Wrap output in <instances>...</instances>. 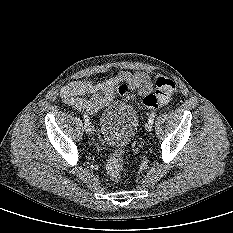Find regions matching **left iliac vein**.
Returning <instances> with one entry per match:
<instances>
[{
    "label": "left iliac vein",
    "instance_id": "left-iliac-vein-1",
    "mask_svg": "<svg viewBox=\"0 0 233 233\" xmlns=\"http://www.w3.org/2000/svg\"><path fill=\"white\" fill-rule=\"evenodd\" d=\"M152 125H153L152 123L147 122L145 125L146 131L150 132L152 130V127H153Z\"/></svg>",
    "mask_w": 233,
    "mask_h": 233
}]
</instances>
